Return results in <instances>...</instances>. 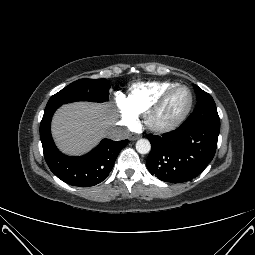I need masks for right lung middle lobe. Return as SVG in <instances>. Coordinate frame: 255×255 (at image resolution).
I'll return each mask as SVG.
<instances>
[{"label":"right lung middle lobe","mask_w":255,"mask_h":255,"mask_svg":"<svg viewBox=\"0 0 255 255\" xmlns=\"http://www.w3.org/2000/svg\"><path fill=\"white\" fill-rule=\"evenodd\" d=\"M109 88L110 85L106 79H80L53 95L46 108L75 101H107Z\"/></svg>","instance_id":"right-lung-middle-lobe-1"}]
</instances>
